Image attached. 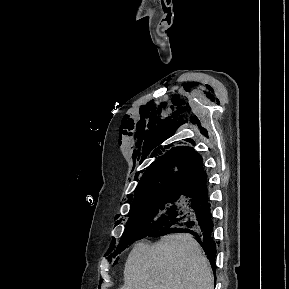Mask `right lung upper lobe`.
<instances>
[{
	"mask_svg": "<svg viewBox=\"0 0 289 289\" xmlns=\"http://www.w3.org/2000/svg\"><path fill=\"white\" fill-rule=\"evenodd\" d=\"M206 191L201 155L188 146L175 147L145 171L135 190V199L160 194L199 196Z\"/></svg>",
	"mask_w": 289,
	"mask_h": 289,
	"instance_id": "obj_1",
	"label": "right lung upper lobe"
}]
</instances>
